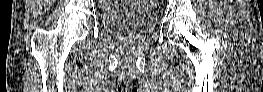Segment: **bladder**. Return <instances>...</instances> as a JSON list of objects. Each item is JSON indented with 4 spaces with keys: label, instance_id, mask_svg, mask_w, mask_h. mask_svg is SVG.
I'll return each mask as SVG.
<instances>
[{
    "label": "bladder",
    "instance_id": "1",
    "mask_svg": "<svg viewBox=\"0 0 263 92\" xmlns=\"http://www.w3.org/2000/svg\"><path fill=\"white\" fill-rule=\"evenodd\" d=\"M102 23L116 37L127 40L139 39L148 34L155 26V16L148 7H124L106 10Z\"/></svg>",
    "mask_w": 263,
    "mask_h": 92
}]
</instances>
